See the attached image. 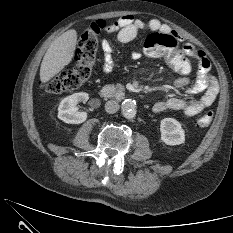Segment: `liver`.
<instances>
[{
    "label": "liver",
    "mask_w": 233,
    "mask_h": 233,
    "mask_svg": "<svg viewBox=\"0 0 233 233\" xmlns=\"http://www.w3.org/2000/svg\"><path fill=\"white\" fill-rule=\"evenodd\" d=\"M76 43L77 32L73 29L66 31L51 43L40 67L42 83L48 82L72 61Z\"/></svg>",
    "instance_id": "liver-1"
}]
</instances>
